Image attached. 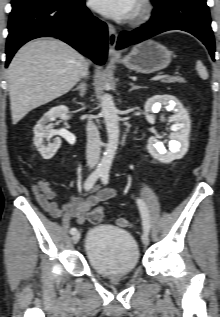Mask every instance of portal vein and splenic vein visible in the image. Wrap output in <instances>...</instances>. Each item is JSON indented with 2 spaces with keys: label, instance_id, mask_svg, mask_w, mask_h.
Masks as SVG:
<instances>
[{
  "label": "portal vein and splenic vein",
  "instance_id": "portal-vein-and-splenic-vein-1",
  "mask_svg": "<svg viewBox=\"0 0 220 317\" xmlns=\"http://www.w3.org/2000/svg\"><path fill=\"white\" fill-rule=\"evenodd\" d=\"M167 77H168L167 75H160V76H155V77H153L151 80L157 81V80L165 79V78H167Z\"/></svg>",
  "mask_w": 220,
  "mask_h": 317
}]
</instances>
